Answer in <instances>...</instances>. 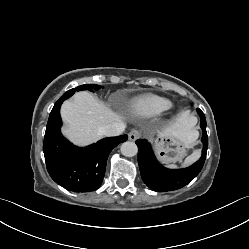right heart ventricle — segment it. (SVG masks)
I'll return each mask as SVG.
<instances>
[{"instance_id": "right-heart-ventricle-1", "label": "right heart ventricle", "mask_w": 249, "mask_h": 249, "mask_svg": "<svg viewBox=\"0 0 249 249\" xmlns=\"http://www.w3.org/2000/svg\"><path fill=\"white\" fill-rule=\"evenodd\" d=\"M130 106L141 115L154 116L169 109L171 102L161 96L146 94L136 98Z\"/></svg>"}]
</instances>
